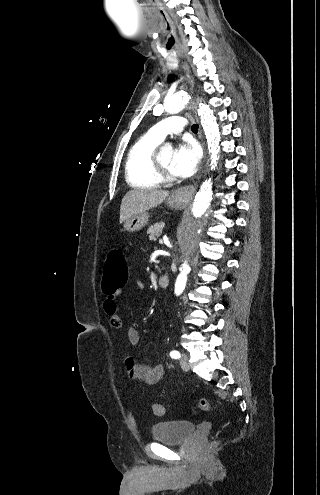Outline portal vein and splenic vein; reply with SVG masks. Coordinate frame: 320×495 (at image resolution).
<instances>
[{"label": "portal vein and splenic vein", "mask_w": 320, "mask_h": 495, "mask_svg": "<svg viewBox=\"0 0 320 495\" xmlns=\"http://www.w3.org/2000/svg\"><path fill=\"white\" fill-rule=\"evenodd\" d=\"M159 243L162 244L163 243V240H159Z\"/></svg>", "instance_id": "portal-vein-and-splenic-vein-1"}]
</instances>
